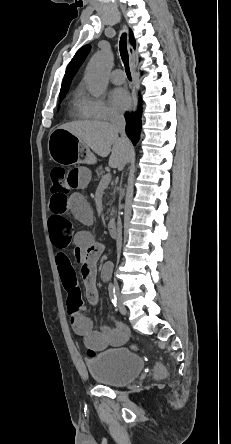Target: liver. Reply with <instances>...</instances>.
<instances>
[{
	"mask_svg": "<svg viewBox=\"0 0 231 444\" xmlns=\"http://www.w3.org/2000/svg\"><path fill=\"white\" fill-rule=\"evenodd\" d=\"M78 137L88 148L97 155L107 157L110 152L109 166L121 170L124 168L130 153L129 140L125 141L118 136L112 125L100 121H75L61 125Z\"/></svg>",
	"mask_w": 231,
	"mask_h": 444,
	"instance_id": "liver-1",
	"label": "liver"
}]
</instances>
